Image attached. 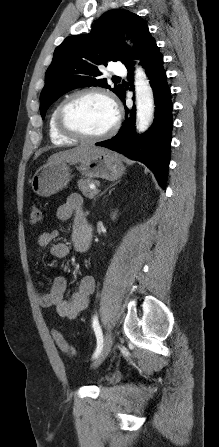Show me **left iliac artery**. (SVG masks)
<instances>
[{
	"label": "left iliac artery",
	"mask_w": 219,
	"mask_h": 447,
	"mask_svg": "<svg viewBox=\"0 0 219 447\" xmlns=\"http://www.w3.org/2000/svg\"><path fill=\"white\" fill-rule=\"evenodd\" d=\"M92 322H93V324H92L93 325V329H94V332H95V335H96V338H97V348H96V350L94 352V355H93V358H96V357H98V355L100 354L101 349H102L103 335H102L101 327H100L99 322H98L97 315H95L93 317V321Z\"/></svg>",
	"instance_id": "obj_1"
}]
</instances>
